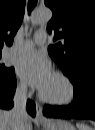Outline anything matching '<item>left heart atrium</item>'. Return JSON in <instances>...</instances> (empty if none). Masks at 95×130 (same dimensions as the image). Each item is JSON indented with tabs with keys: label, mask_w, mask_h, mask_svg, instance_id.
<instances>
[{
	"label": "left heart atrium",
	"mask_w": 95,
	"mask_h": 130,
	"mask_svg": "<svg viewBox=\"0 0 95 130\" xmlns=\"http://www.w3.org/2000/svg\"><path fill=\"white\" fill-rule=\"evenodd\" d=\"M17 73L25 82L39 89H43L53 75L47 57L37 52L28 53L19 59Z\"/></svg>",
	"instance_id": "left-heart-atrium-1"
}]
</instances>
